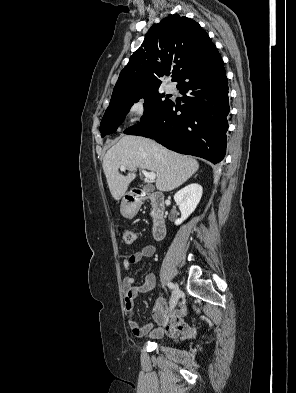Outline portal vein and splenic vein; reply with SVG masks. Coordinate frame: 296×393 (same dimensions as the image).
<instances>
[{
    "instance_id": "obj_1",
    "label": "portal vein and splenic vein",
    "mask_w": 296,
    "mask_h": 393,
    "mask_svg": "<svg viewBox=\"0 0 296 393\" xmlns=\"http://www.w3.org/2000/svg\"><path fill=\"white\" fill-rule=\"evenodd\" d=\"M125 169H126L125 166H121L120 167L121 171H125ZM142 173L149 180H155L156 179V174L154 172H147L145 170H142Z\"/></svg>"
}]
</instances>
